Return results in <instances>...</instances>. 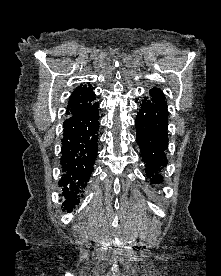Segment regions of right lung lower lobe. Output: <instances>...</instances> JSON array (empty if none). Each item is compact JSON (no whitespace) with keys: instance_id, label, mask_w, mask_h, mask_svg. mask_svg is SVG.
<instances>
[{"instance_id":"obj_1","label":"right lung lower lobe","mask_w":221,"mask_h":276,"mask_svg":"<svg viewBox=\"0 0 221 276\" xmlns=\"http://www.w3.org/2000/svg\"><path fill=\"white\" fill-rule=\"evenodd\" d=\"M98 103L82 114L64 121L61 147L62 178L59 186L65 198L63 206L71 212L79 204V197L88 185L98 150Z\"/></svg>"}]
</instances>
